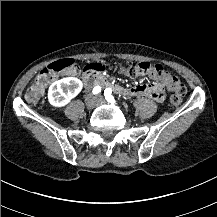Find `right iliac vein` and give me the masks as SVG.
Returning <instances> with one entry per match:
<instances>
[{
	"label": "right iliac vein",
	"mask_w": 217,
	"mask_h": 217,
	"mask_svg": "<svg viewBox=\"0 0 217 217\" xmlns=\"http://www.w3.org/2000/svg\"><path fill=\"white\" fill-rule=\"evenodd\" d=\"M85 105L88 109H93L96 105V100L94 98V96L92 94H89L86 98H85Z\"/></svg>",
	"instance_id": "obj_1"
}]
</instances>
